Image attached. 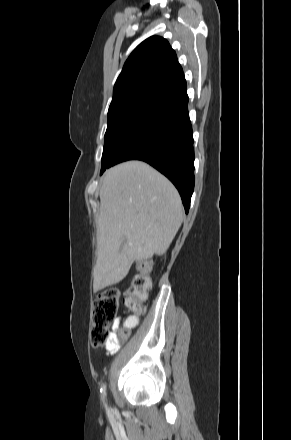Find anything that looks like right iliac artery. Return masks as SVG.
<instances>
[{"instance_id": "right-iliac-artery-1", "label": "right iliac artery", "mask_w": 291, "mask_h": 440, "mask_svg": "<svg viewBox=\"0 0 291 440\" xmlns=\"http://www.w3.org/2000/svg\"><path fill=\"white\" fill-rule=\"evenodd\" d=\"M101 392H102V395H103V398H104L106 396V386L105 385L102 386Z\"/></svg>"}]
</instances>
